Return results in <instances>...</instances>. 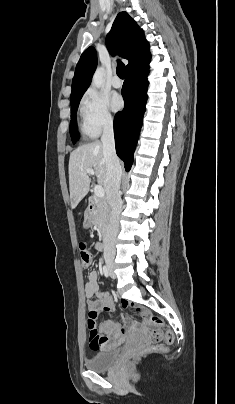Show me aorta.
<instances>
[{"mask_svg":"<svg viewBox=\"0 0 235 404\" xmlns=\"http://www.w3.org/2000/svg\"><path fill=\"white\" fill-rule=\"evenodd\" d=\"M92 85L96 88H100L104 85V70L103 68H97L92 78Z\"/></svg>","mask_w":235,"mask_h":404,"instance_id":"1","label":"aorta"}]
</instances>
